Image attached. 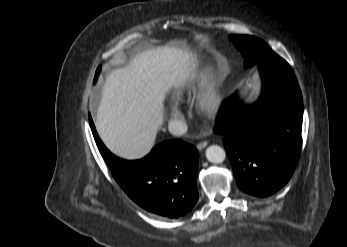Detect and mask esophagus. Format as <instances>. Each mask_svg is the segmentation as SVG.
Instances as JSON below:
<instances>
[{
  "mask_svg": "<svg viewBox=\"0 0 347 247\" xmlns=\"http://www.w3.org/2000/svg\"><path fill=\"white\" fill-rule=\"evenodd\" d=\"M207 145H208V141H201V142H199V143L196 145V147H197L198 150L201 151V150L204 149Z\"/></svg>",
  "mask_w": 347,
  "mask_h": 247,
  "instance_id": "esophagus-1",
  "label": "esophagus"
}]
</instances>
